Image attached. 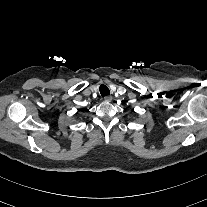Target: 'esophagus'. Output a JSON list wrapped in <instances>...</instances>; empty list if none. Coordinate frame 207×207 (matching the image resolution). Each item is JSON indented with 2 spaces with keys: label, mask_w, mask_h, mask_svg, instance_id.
I'll return each mask as SVG.
<instances>
[{
  "label": "esophagus",
  "mask_w": 207,
  "mask_h": 207,
  "mask_svg": "<svg viewBox=\"0 0 207 207\" xmlns=\"http://www.w3.org/2000/svg\"><path fill=\"white\" fill-rule=\"evenodd\" d=\"M104 100H105L106 102H110V101L112 100V96H111V95H106V96L104 97Z\"/></svg>",
  "instance_id": "1"
}]
</instances>
